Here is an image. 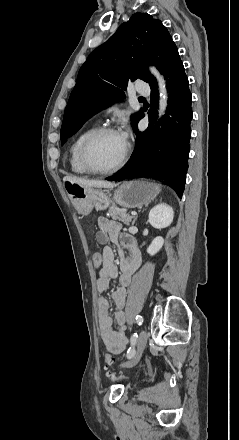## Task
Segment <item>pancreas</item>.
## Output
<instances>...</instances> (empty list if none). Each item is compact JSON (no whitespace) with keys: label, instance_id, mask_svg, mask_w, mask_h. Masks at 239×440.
<instances>
[{"label":"pancreas","instance_id":"obj_1","mask_svg":"<svg viewBox=\"0 0 239 440\" xmlns=\"http://www.w3.org/2000/svg\"><path fill=\"white\" fill-rule=\"evenodd\" d=\"M107 218H112V220H119V222H123L126 226H130V222L134 216H129L126 214V210H119L116 206H111L107 212Z\"/></svg>","mask_w":239,"mask_h":440}]
</instances>
